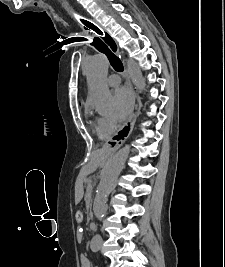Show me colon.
I'll list each match as a JSON object with an SVG mask.
<instances>
[{
	"mask_svg": "<svg viewBox=\"0 0 225 267\" xmlns=\"http://www.w3.org/2000/svg\"><path fill=\"white\" fill-rule=\"evenodd\" d=\"M75 219L78 223L82 222L83 219V215L81 211H76L75 213Z\"/></svg>",
	"mask_w": 225,
	"mask_h": 267,
	"instance_id": "5ec220e1",
	"label": "colon"
}]
</instances>
